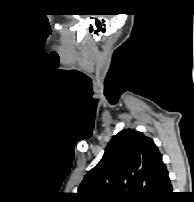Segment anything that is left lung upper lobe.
I'll return each instance as SVG.
<instances>
[{"instance_id":"obj_1","label":"left lung upper lobe","mask_w":194,"mask_h":202,"mask_svg":"<svg viewBox=\"0 0 194 202\" xmlns=\"http://www.w3.org/2000/svg\"><path fill=\"white\" fill-rule=\"evenodd\" d=\"M165 168L151 138L133 129L122 130L85 176L78 195L84 202L149 201Z\"/></svg>"}]
</instances>
